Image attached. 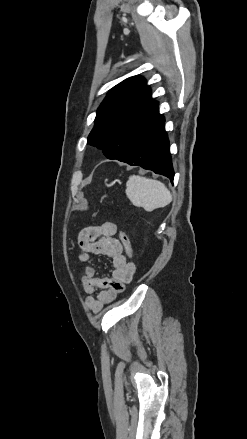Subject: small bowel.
I'll use <instances>...</instances> for the list:
<instances>
[{"label": "small bowel", "instance_id": "1", "mask_svg": "<svg viewBox=\"0 0 247 439\" xmlns=\"http://www.w3.org/2000/svg\"><path fill=\"white\" fill-rule=\"evenodd\" d=\"M116 231V225L107 222L86 227L78 236L80 261L89 262L93 255H104L111 259L114 268L111 278L97 277L93 267L85 268L81 281L83 290L89 295L86 305L93 312L112 302L125 289L135 272L134 263L127 260L121 242L114 237Z\"/></svg>", "mask_w": 247, "mask_h": 439}]
</instances>
